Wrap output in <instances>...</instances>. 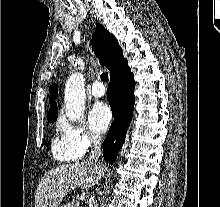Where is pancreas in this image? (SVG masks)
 I'll return each instance as SVG.
<instances>
[{
    "label": "pancreas",
    "instance_id": "1",
    "mask_svg": "<svg viewBox=\"0 0 220 207\" xmlns=\"http://www.w3.org/2000/svg\"><path fill=\"white\" fill-rule=\"evenodd\" d=\"M66 207H80V206H79L78 202L73 201V202L69 203L68 206H66Z\"/></svg>",
    "mask_w": 220,
    "mask_h": 207
}]
</instances>
